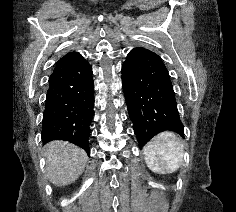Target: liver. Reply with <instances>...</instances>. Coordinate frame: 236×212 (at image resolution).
<instances>
[{
    "label": "liver",
    "mask_w": 236,
    "mask_h": 212,
    "mask_svg": "<svg viewBox=\"0 0 236 212\" xmlns=\"http://www.w3.org/2000/svg\"><path fill=\"white\" fill-rule=\"evenodd\" d=\"M44 156L50 181L57 186L73 183L84 171L88 156L81 148L66 141H51Z\"/></svg>",
    "instance_id": "obj_1"
}]
</instances>
